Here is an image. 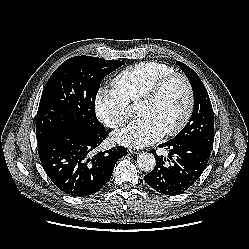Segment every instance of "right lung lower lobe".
Segmentation results:
<instances>
[{"label":"right lung lower lobe","instance_id":"98d812e1","mask_svg":"<svg viewBox=\"0 0 249 249\" xmlns=\"http://www.w3.org/2000/svg\"><path fill=\"white\" fill-rule=\"evenodd\" d=\"M107 135L105 130L90 133L70 128L38 142L39 158L51 181L75 197L98 192L110 179L116 161L127 154L125 147L116 146L90 157Z\"/></svg>","mask_w":249,"mask_h":249}]
</instances>
